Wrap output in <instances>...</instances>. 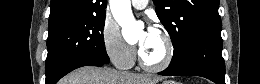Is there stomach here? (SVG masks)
I'll return each mask as SVG.
<instances>
[{
    "label": "stomach",
    "mask_w": 260,
    "mask_h": 84,
    "mask_svg": "<svg viewBox=\"0 0 260 84\" xmlns=\"http://www.w3.org/2000/svg\"><path fill=\"white\" fill-rule=\"evenodd\" d=\"M161 84H178L174 81H163Z\"/></svg>",
    "instance_id": "obj_1"
}]
</instances>
